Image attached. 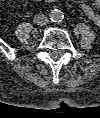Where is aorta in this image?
<instances>
[{
    "instance_id": "obj_1",
    "label": "aorta",
    "mask_w": 100,
    "mask_h": 118,
    "mask_svg": "<svg viewBox=\"0 0 100 118\" xmlns=\"http://www.w3.org/2000/svg\"><path fill=\"white\" fill-rule=\"evenodd\" d=\"M49 17L54 22H60L64 18V14L61 10L53 9L50 11Z\"/></svg>"
}]
</instances>
